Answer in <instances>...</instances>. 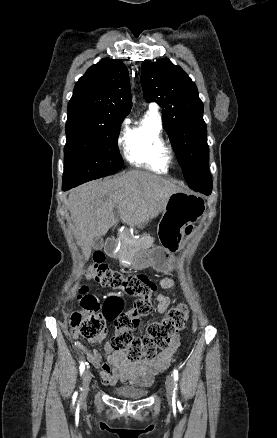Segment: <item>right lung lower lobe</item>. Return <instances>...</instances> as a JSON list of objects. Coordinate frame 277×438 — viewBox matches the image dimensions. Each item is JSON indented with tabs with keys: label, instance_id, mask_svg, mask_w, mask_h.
<instances>
[{
	"label": "right lung lower lobe",
	"instance_id": "obj_1",
	"mask_svg": "<svg viewBox=\"0 0 277 438\" xmlns=\"http://www.w3.org/2000/svg\"><path fill=\"white\" fill-rule=\"evenodd\" d=\"M73 187H75L74 185H62V190L63 191H66V190H69V189H71V188H73Z\"/></svg>",
	"mask_w": 277,
	"mask_h": 438
}]
</instances>
